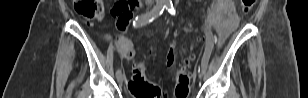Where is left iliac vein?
Wrapping results in <instances>:
<instances>
[{
    "mask_svg": "<svg viewBox=\"0 0 308 98\" xmlns=\"http://www.w3.org/2000/svg\"><path fill=\"white\" fill-rule=\"evenodd\" d=\"M198 73H199L200 77L203 75V71L202 70H199Z\"/></svg>",
    "mask_w": 308,
    "mask_h": 98,
    "instance_id": "1",
    "label": "left iliac vein"
}]
</instances>
